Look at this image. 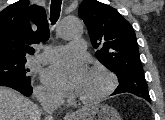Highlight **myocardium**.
<instances>
[{"instance_id": "myocardium-1", "label": "myocardium", "mask_w": 165, "mask_h": 120, "mask_svg": "<svg viewBox=\"0 0 165 120\" xmlns=\"http://www.w3.org/2000/svg\"><path fill=\"white\" fill-rule=\"evenodd\" d=\"M89 71L93 73L102 74L106 78L107 84L106 87L99 94L95 96L87 97V98L79 97L78 101L82 104L98 103L104 100L105 98H107L110 94H112L117 87V77L114 74V72L111 71L108 67L102 64H96L93 65Z\"/></svg>"}]
</instances>
